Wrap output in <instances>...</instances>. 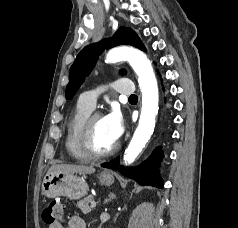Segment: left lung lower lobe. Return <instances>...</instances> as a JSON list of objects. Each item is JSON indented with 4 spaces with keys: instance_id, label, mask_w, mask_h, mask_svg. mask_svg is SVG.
Listing matches in <instances>:
<instances>
[{
    "instance_id": "1",
    "label": "left lung lower lobe",
    "mask_w": 238,
    "mask_h": 228,
    "mask_svg": "<svg viewBox=\"0 0 238 228\" xmlns=\"http://www.w3.org/2000/svg\"><path fill=\"white\" fill-rule=\"evenodd\" d=\"M162 157L161 148L158 147L146 161L137 167L125 168L120 166V157L103 164L102 167L119 170L122 175L136 180L141 185L163 188V181L158 173V164Z\"/></svg>"
}]
</instances>
